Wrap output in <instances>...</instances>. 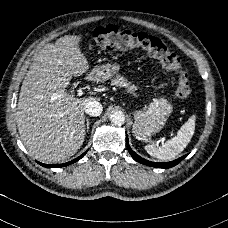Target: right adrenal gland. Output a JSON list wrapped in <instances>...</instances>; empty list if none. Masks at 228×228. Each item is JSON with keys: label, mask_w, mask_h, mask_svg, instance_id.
Segmentation results:
<instances>
[{"label": "right adrenal gland", "mask_w": 228, "mask_h": 228, "mask_svg": "<svg viewBox=\"0 0 228 228\" xmlns=\"http://www.w3.org/2000/svg\"><path fill=\"white\" fill-rule=\"evenodd\" d=\"M89 124H90L89 119H86V131L87 132L89 131Z\"/></svg>", "instance_id": "right-adrenal-gland-1"}]
</instances>
